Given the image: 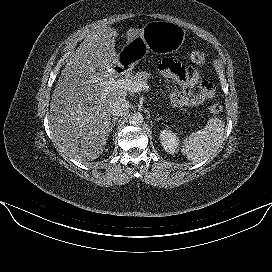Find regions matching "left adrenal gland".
Returning a JSON list of instances; mask_svg holds the SVG:
<instances>
[{
    "label": "left adrenal gland",
    "mask_w": 272,
    "mask_h": 272,
    "mask_svg": "<svg viewBox=\"0 0 272 272\" xmlns=\"http://www.w3.org/2000/svg\"><path fill=\"white\" fill-rule=\"evenodd\" d=\"M156 120L159 121V120H161V118H157Z\"/></svg>",
    "instance_id": "a2214340"
}]
</instances>
